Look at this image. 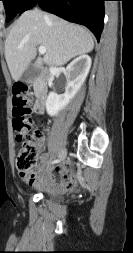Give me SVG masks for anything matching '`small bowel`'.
I'll use <instances>...</instances> for the list:
<instances>
[{"instance_id": "small-bowel-1", "label": "small bowel", "mask_w": 133, "mask_h": 253, "mask_svg": "<svg viewBox=\"0 0 133 253\" xmlns=\"http://www.w3.org/2000/svg\"><path fill=\"white\" fill-rule=\"evenodd\" d=\"M39 145H42V141L39 142ZM49 160L50 155H44L34 169L20 172L22 181L42 190L64 192L73 189L78 182L77 175L68 166L60 165L56 167L58 174V178H56L51 172H45Z\"/></svg>"}]
</instances>
